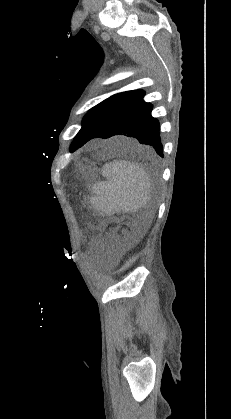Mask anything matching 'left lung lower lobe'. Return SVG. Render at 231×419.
I'll list each match as a JSON object with an SVG mask.
<instances>
[{"mask_svg":"<svg viewBox=\"0 0 231 419\" xmlns=\"http://www.w3.org/2000/svg\"><path fill=\"white\" fill-rule=\"evenodd\" d=\"M144 91L136 90L127 100L109 112L74 149L93 138L115 135L135 137L141 144L152 146L163 157L159 121L151 116L152 105L143 100ZM73 150V151H74Z\"/></svg>","mask_w":231,"mask_h":419,"instance_id":"obj_1","label":"left lung lower lobe"}]
</instances>
